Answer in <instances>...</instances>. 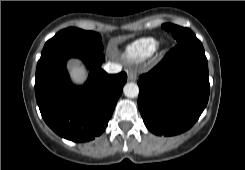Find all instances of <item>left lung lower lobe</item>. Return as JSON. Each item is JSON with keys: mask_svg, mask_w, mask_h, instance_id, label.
I'll return each instance as SVG.
<instances>
[{"mask_svg": "<svg viewBox=\"0 0 245 170\" xmlns=\"http://www.w3.org/2000/svg\"><path fill=\"white\" fill-rule=\"evenodd\" d=\"M138 107L146 127L172 136L193 126L210 92L204 48L177 44L150 72L139 77Z\"/></svg>", "mask_w": 245, "mask_h": 170, "instance_id": "1", "label": "left lung lower lobe"}]
</instances>
